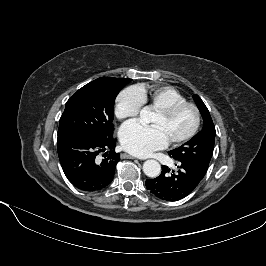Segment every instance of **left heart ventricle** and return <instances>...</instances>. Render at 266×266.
I'll use <instances>...</instances> for the list:
<instances>
[{"label": "left heart ventricle", "instance_id": "b2bd125f", "mask_svg": "<svg viewBox=\"0 0 266 266\" xmlns=\"http://www.w3.org/2000/svg\"><path fill=\"white\" fill-rule=\"evenodd\" d=\"M151 123L161 128L168 140L171 141L189 132L194 123V114L189 108L182 109L168 118L155 113Z\"/></svg>", "mask_w": 266, "mask_h": 266}]
</instances>
